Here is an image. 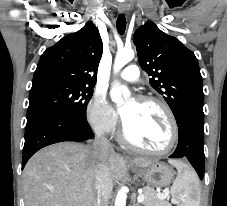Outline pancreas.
Returning <instances> with one entry per match:
<instances>
[{"instance_id": "pancreas-1", "label": "pancreas", "mask_w": 227, "mask_h": 206, "mask_svg": "<svg viewBox=\"0 0 227 206\" xmlns=\"http://www.w3.org/2000/svg\"><path fill=\"white\" fill-rule=\"evenodd\" d=\"M142 193L144 195V201L142 202L143 206H171L164 199H160L157 196L154 188L146 186L142 188Z\"/></svg>"}]
</instances>
